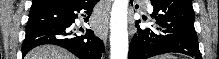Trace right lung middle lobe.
I'll list each match as a JSON object with an SVG mask.
<instances>
[{
	"instance_id": "dd1d6c3e",
	"label": "right lung middle lobe",
	"mask_w": 219,
	"mask_h": 59,
	"mask_svg": "<svg viewBox=\"0 0 219 59\" xmlns=\"http://www.w3.org/2000/svg\"><path fill=\"white\" fill-rule=\"evenodd\" d=\"M56 20L54 12L29 13V20L26 29L47 24Z\"/></svg>"
}]
</instances>
